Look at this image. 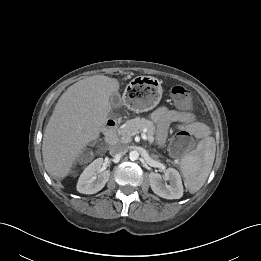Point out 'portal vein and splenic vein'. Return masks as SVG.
Wrapping results in <instances>:
<instances>
[{"instance_id":"18ae733b","label":"portal vein and splenic vein","mask_w":261,"mask_h":261,"mask_svg":"<svg viewBox=\"0 0 261 261\" xmlns=\"http://www.w3.org/2000/svg\"><path fill=\"white\" fill-rule=\"evenodd\" d=\"M133 135H135V133H133ZM142 138H143L144 140L149 139V137H148L145 133L142 134Z\"/></svg>"}]
</instances>
